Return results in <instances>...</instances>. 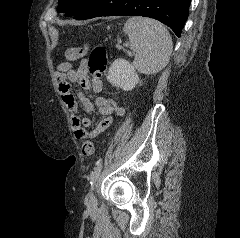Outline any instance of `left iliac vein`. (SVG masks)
I'll return each mask as SVG.
<instances>
[{
    "instance_id": "4c4485c4",
    "label": "left iliac vein",
    "mask_w": 240,
    "mask_h": 238,
    "mask_svg": "<svg viewBox=\"0 0 240 238\" xmlns=\"http://www.w3.org/2000/svg\"><path fill=\"white\" fill-rule=\"evenodd\" d=\"M94 186L95 185H92L85 197V202L89 210H95L97 208V199L94 195Z\"/></svg>"
}]
</instances>
